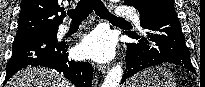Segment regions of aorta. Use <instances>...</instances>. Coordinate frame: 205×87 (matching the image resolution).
<instances>
[{
	"instance_id": "obj_1",
	"label": "aorta",
	"mask_w": 205,
	"mask_h": 87,
	"mask_svg": "<svg viewBox=\"0 0 205 87\" xmlns=\"http://www.w3.org/2000/svg\"><path fill=\"white\" fill-rule=\"evenodd\" d=\"M123 69L120 64L114 65L107 74L102 87H119Z\"/></svg>"
}]
</instances>
